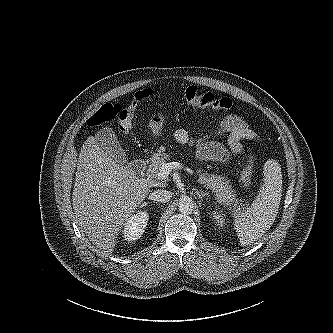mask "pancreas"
I'll use <instances>...</instances> for the list:
<instances>
[{"mask_svg":"<svg viewBox=\"0 0 333 333\" xmlns=\"http://www.w3.org/2000/svg\"><path fill=\"white\" fill-rule=\"evenodd\" d=\"M168 160L169 155L164 153V148H160L151 156L148 173L153 179L164 180L161 178L158 179L157 174L159 173L161 166ZM201 172V169H199L198 173L200 174L198 182L206 188L211 189L219 203H222L227 207H231L233 205L234 209L237 210L238 200L236 199L235 191L232 189L230 182L224 176Z\"/></svg>","mask_w":333,"mask_h":333,"instance_id":"1","label":"pancreas"}]
</instances>
